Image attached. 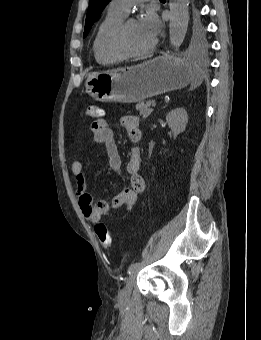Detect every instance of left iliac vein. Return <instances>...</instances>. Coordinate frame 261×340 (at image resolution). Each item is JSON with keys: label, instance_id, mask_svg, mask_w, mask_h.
Masks as SVG:
<instances>
[{"label": "left iliac vein", "instance_id": "left-iliac-vein-1", "mask_svg": "<svg viewBox=\"0 0 261 340\" xmlns=\"http://www.w3.org/2000/svg\"><path fill=\"white\" fill-rule=\"evenodd\" d=\"M138 270H139V268H136L135 270H133L130 273V275L127 279L126 285L120 291V293L118 295V300H119L120 303H125L129 300L131 292H132V288H133V286L136 282Z\"/></svg>", "mask_w": 261, "mask_h": 340}]
</instances>
